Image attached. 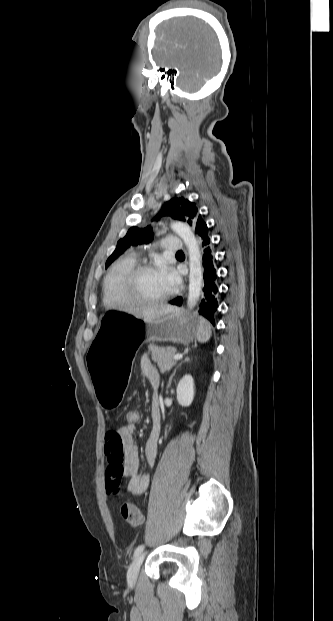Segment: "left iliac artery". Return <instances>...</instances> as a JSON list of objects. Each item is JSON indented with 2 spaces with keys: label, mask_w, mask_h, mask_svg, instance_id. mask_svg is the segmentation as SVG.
<instances>
[{
  "label": "left iliac artery",
  "mask_w": 333,
  "mask_h": 621,
  "mask_svg": "<svg viewBox=\"0 0 333 621\" xmlns=\"http://www.w3.org/2000/svg\"><path fill=\"white\" fill-rule=\"evenodd\" d=\"M143 549H144V545L143 544L139 545L134 551V557L138 556L143 551Z\"/></svg>",
  "instance_id": "left-iliac-artery-1"
}]
</instances>
